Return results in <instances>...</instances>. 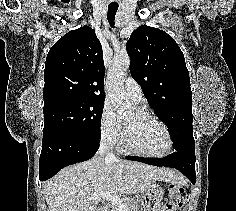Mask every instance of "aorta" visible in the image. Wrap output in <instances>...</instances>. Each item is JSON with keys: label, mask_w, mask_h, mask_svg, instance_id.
I'll use <instances>...</instances> for the list:
<instances>
[{"label": "aorta", "mask_w": 236, "mask_h": 211, "mask_svg": "<svg viewBox=\"0 0 236 211\" xmlns=\"http://www.w3.org/2000/svg\"><path fill=\"white\" fill-rule=\"evenodd\" d=\"M130 66L128 55L114 58L109 69V96L119 115H123L132 109L133 104L125 95L123 81L126 71Z\"/></svg>", "instance_id": "obj_1"}]
</instances>
